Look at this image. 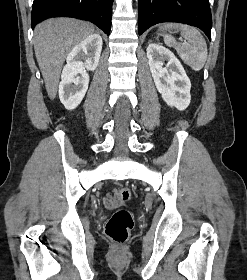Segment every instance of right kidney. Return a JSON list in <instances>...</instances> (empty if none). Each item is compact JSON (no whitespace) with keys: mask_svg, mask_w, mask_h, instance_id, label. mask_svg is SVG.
Returning a JSON list of instances; mask_svg holds the SVG:
<instances>
[{"mask_svg":"<svg viewBox=\"0 0 247 280\" xmlns=\"http://www.w3.org/2000/svg\"><path fill=\"white\" fill-rule=\"evenodd\" d=\"M102 44L101 36L95 33L69 52L59 84V98L66 109H75L85 96L89 84L87 71H94L98 66Z\"/></svg>","mask_w":247,"mask_h":280,"instance_id":"1","label":"right kidney"}]
</instances>
